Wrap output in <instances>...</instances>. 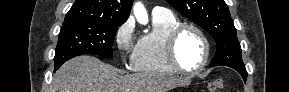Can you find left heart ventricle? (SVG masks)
<instances>
[{"label": "left heart ventricle", "instance_id": "obj_1", "mask_svg": "<svg viewBox=\"0 0 289 92\" xmlns=\"http://www.w3.org/2000/svg\"><path fill=\"white\" fill-rule=\"evenodd\" d=\"M176 55L180 65L193 70L200 66L204 57V44L197 33L186 30L179 38Z\"/></svg>", "mask_w": 289, "mask_h": 92}]
</instances>
